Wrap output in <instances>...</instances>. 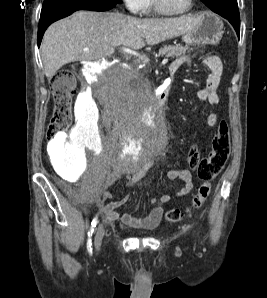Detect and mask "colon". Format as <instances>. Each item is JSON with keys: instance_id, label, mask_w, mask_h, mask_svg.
<instances>
[{"instance_id": "colon-1", "label": "colon", "mask_w": 267, "mask_h": 298, "mask_svg": "<svg viewBox=\"0 0 267 298\" xmlns=\"http://www.w3.org/2000/svg\"><path fill=\"white\" fill-rule=\"evenodd\" d=\"M51 87L55 106L48 126V137L52 143H56L60 134L65 132L72 122V97L76 87L74 74L66 69L58 71L52 77ZM230 148V134L225 122L219 124V130L211 143V150L206 156H202L195 146L190 148L187 161L189 167L196 171L202 180V184L197 189L191 206L186 211H167L166 220L179 222L204 204L210 195L212 180L220 174L228 160Z\"/></svg>"}]
</instances>
